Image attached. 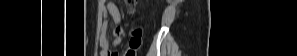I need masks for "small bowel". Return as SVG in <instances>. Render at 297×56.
<instances>
[{
    "label": "small bowel",
    "instance_id": "1",
    "mask_svg": "<svg viewBox=\"0 0 297 56\" xmlns=\"http://www.w3.org/2000/svg\"><path fill=\"white\" fill-rule=\"evenodd\" d=\"M105 13L109 14L112 17L113 21L118 25L114 30V39L112 42V46H117L122 42L125 36L123 28L119 25L121 23V15L119 9L115 3L107 2ZM107 30L108 23L104 22L102 26V34L99 41L101 48V56H116V54L113 53L111 50V45L107 38Z\"/></svg>",
    "mask_w": 297,
    "mask_h": 56
}]
</instances>
